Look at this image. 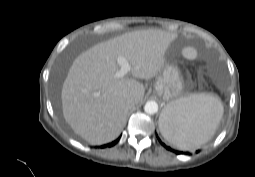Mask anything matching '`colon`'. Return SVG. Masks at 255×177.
Segmentation results:
<instances>
[{
    "label": "colon",
    "mask_w": 255,
    "mask_h": 177,
    "mask_svg": "<svg viewBox=\"0 0 255 177\" xmlns=\"http://www.w3.org/2000/svg\"><path fill=\"white\" fill-rule=\"evenodd\" d=\"M185 55L188 58H194L195 57V52L192 49H187L186 52H185Z\"/></svg>",
    "instance_id": "obj_1"
}]
</instances>
